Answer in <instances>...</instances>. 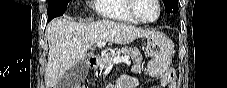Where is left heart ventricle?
Masks as SVG:
<instances>
[{
    "mask_svg": "<svg viewBox=\"0 0 227 88\" xmlns=\"http://www.w3.org/2000/svg\"><path fill=\"white\" fill-rule=\"evenodd\" d=\"M136 13L141 19L152 20L158 14L153 0H137Z\"/></svg>",
    "mask_w": 227,
    "mask_h": 88,
    "instance_id": "left-heart-ventricle-1",
    "label": "left heart ventricle"
}]
</instances>
